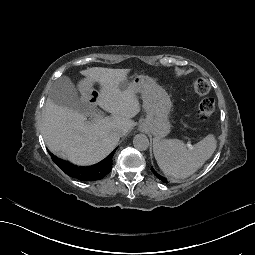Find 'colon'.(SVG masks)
I'll list each match as a JSON object with an SVG mask.
<instances>
[{"label": "colon", "instance_id": "obj_1", "mask_svg": "<svg viewBox=\"0 0 255 255\" xmlns=\"http://www.w3.org/2000/svg\"><path fill=\"white\" fill-rule=\"evenodd\" d=\"M193 91L200 96L206 95L210 90V84L206 79L197 78L192 84ZM215 109V102L211 98L202 100L198 106L197 118L199 120H205L209 118Z\"/></svg>", "mask_w": 255, "mask_h": 255}]
</instances>
